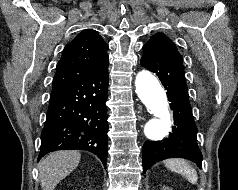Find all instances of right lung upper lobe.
Returning a JSON list of instances; mask_svg holds the SVG:
<instances>
[{
  "mask_svg": "<svg viewBox=\"0 0 238 190\" xmlns=\"http://www.w3.org/2000/svg\"><path fill=\"white\" fill-rule=\"evenodd\" d=\"M107 49L108 45L97 31L85 29L80 32L62 52L53 78L52 92L92 74L107 64Z\"/></svg>",
  "mask_w": 238,
  "mask_h": 190,
  "instance_id": "cb5924a9",
  "label": "right lung upper lobe"
}]
</instances>
